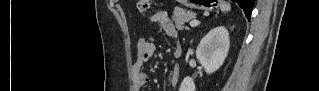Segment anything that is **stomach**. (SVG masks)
<instances>
[{"instance_id":"stomach-1","label":"stomach","mask_w":319,"mask_h":91,"mask_svg":"<svg viewBox=\"0 0 319 91\" xmlns=\"http://www.w3.org/2000/svg\"><path fill=\"white\" fill-rule=\"evenodd\" d=\"M214 4L215 2L212 0L190 1L187 3V6L191 8L209 9V8H213Z\"/></svg>"}]
</instances>
